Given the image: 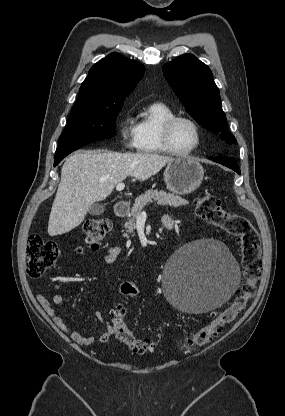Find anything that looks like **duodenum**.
<instances>
[{
  "label": "duodenum",
  "mask_w": 285,
  "mask_h": 416,
  "mask_svg": "<svg viewBox=\"0 0 285 416\" xmlns=\"http://www.w3.org/2000/svg\"><path fill=\"white\" fill-rule=\"evenodd\" d=\"M130 199L128 197H120L118 203L114 206L115 215L118 217H123L129 213ZM163 224L166 228L171 229L173 227V220L169 217L163 219Z\"/></svg>",
  "instance_id": "obj_1"
}]
</instances>
